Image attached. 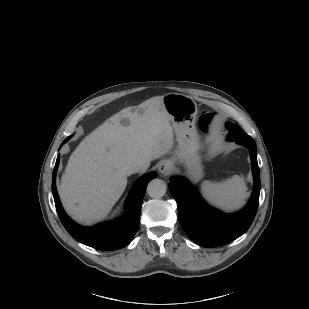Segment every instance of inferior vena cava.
I'll use <instances>...</instances> for the list:
<instances>
[{
    "instance_id": "inferior-vena-cava-1",
    "label": "inferior vena cava",
    "mask_w": 309,
    "mask_h": 309,
    "mask_svg": "<svg viewBox=\"0 0 309 309\" xmlns=\"http://www.w3.org/2000/svg\"><path fill=\"white\" fill-rule=\"evenodd\" d=\"M149 167V165L147 164H135L132 167H130V169L128 170V174H133L136 172H143L145 170H147Z\"/></svg>"
}]
</instances>
